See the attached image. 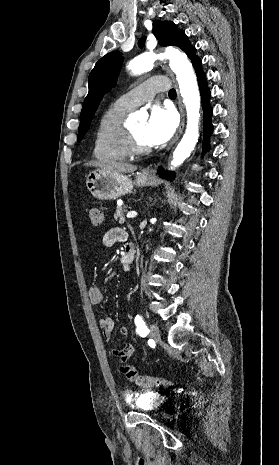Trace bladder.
Returning a JSON list of instances; mask_svg holds the SVG:
<instances>
[{
	"label": "bladder",
	"instance_id": "1",
	"mask_svg": "<svg viewBox=\"0 0 279 465\" xmlns=\"http://www.w3.org/2000/svg\"><path fill=\"white\" fill-rule=\"evenodd\" d=\"M166 398L156 392H137L130 394L129 405L137 411L152 412L163 406Z\"/></svg>",
	"mask_w": 279,
	"mask_h": 465
}]
</instances>
